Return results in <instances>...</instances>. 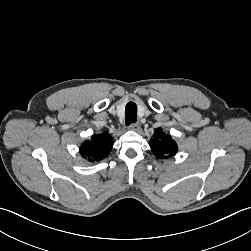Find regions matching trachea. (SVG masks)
<instances>
[{"mask_svg":"<svg viewBox=\"0 0 251 251\" xmlns=\"http://www.w3.org/2000/svg\"><path fill=\"white\" fill-rule=\"evenodd\" d=\"M126 125L136 122L137 106L134 102H129L125 107Z\"/></svg>","mask_w":251,"mask_h":251,"instance_id":"3493384b","label":"trachea"}]
</instances>
